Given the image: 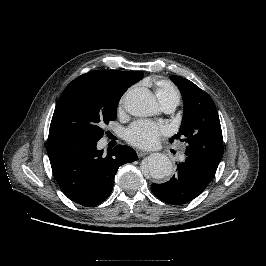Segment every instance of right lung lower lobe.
<instances>
[{
    "instance_id": "98d812e1",
    "label": "right lung lower lobe",
    "mask_w": 266,
    "mask_h": 266,
    "mask_svg": "<svg viewBox=\"0 0 266 266\" xmlns=\"http://www.w3.org/2000/svg\"><path fill=\"white\" fill-rule=\"evenodd\" d=\"M97 141L69 135H49L47 153L53 175L73 202L91 207L103 202L113 189L118 168L138 159L129 146L118 145L107 154Z\"/></svg>"
}]
</instances>
